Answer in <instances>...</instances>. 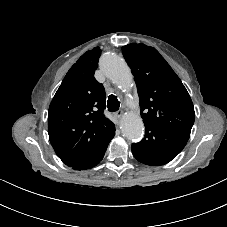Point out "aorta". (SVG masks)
Segmentation results:
<instances>
[{"instance_id": "1", "label": "aorta", "mask_w": 227, "mask_h": 227, "mask_svg": "<svg viewBox=\"0 0 227 227\" xmlns=\"http://www.w3.org/2000/svg\"><path fill=\"white\" fill-rule=\"evenodd\" d=\"M100 68L108 78L123 88L131 86L132 74L130 68L120 56L114 53L104 54L100 59ZM121 127L123 135L132 141L142 138L145 129L142 118L134 113L123 116Z\"/></svg>"}]
</instances>
